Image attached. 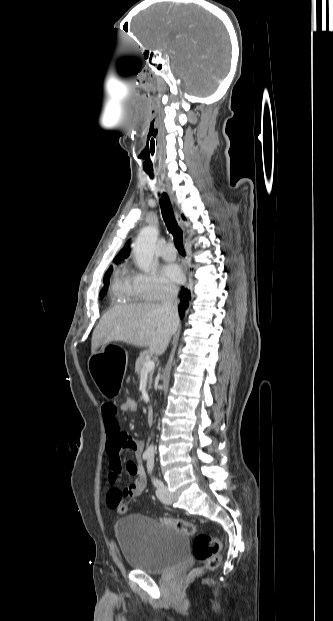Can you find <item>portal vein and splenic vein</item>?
Masks as SVG:
<instances>
[{
  "label": "portal vein and splenic vein",
  "mask_w": 333,
  "mask_h": 621,
  "mask_svg": "<svg viewBox=\"0 0 333 621\" xmlns=\"http://www.w3.org/2000/svg\"><path fill=\"white\" fill-rule=\"evenodd\" d=\"M154 367H155L154 361L148 359L146 361V363L144 364V368L142 370V374L150 372L151 370L154 369Z\"/></svg>",
  "instance_id": "portal-vein-and-splenic-vein-1"
}]
</instances>
